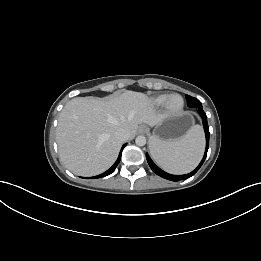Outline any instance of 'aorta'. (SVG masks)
I'll use <instances>...</instances> for the list:
<instances>
[{
    "label": "aorta",
    "mask_w": 261,
    "mask_h": 261,
    "mask_svg": "<svg viewBox=\"0 0 261 261\" xmlns=\"http://www.w3.org/2000/svg\"><path fill=\"white\" fill-rule=\"evenodd\" d=\"M135 143L137 146H144L146 144V138L144 136H138L135 139Z\"/></svg>",
    "instance_id": "1"
}]
</instances>
